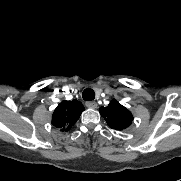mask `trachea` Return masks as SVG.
Segmentation results:
<instances>
[{
    "mask_svg": "<svg viewBox=\"0 0 181 181\" xmlns=\"http://www.w3.org/2000/svg\"><path fill=\"white\" fill-rule=\"evenodd\" d=\"M82 97L86 101L94 100L95 98L94 91L91 88H86L82 93Z\"/></svg>",
    "mask_w": 181,
    "mask_h": 181,
    "instance_id": "3493384b",
    "label": "trachea"
}]
</instances>
